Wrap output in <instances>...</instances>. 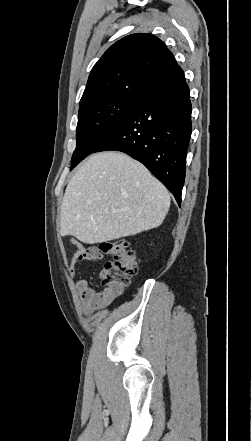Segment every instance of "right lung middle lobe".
<instances>
[{"instance_id": "obj_1", "label": "right lung middle lobe", "mask_w": 251, "mask_h": 441, "mask_svg": "<svg viewBox=\"0 0 251 441\" xmlns=\"http://www.w3.org/2000/svg\"><path fill=\"white\" fill-rule=\"evenodd\" d=\"M142 95L105 98L79 109L72 170L127 116Z\"/></svg>"}]
</instances>
